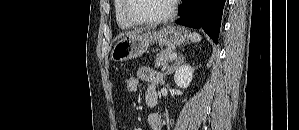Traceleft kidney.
Wrapping results in <instances>:
<instances>
[{
    "instance_id": "obj_1",
    "label": "left kidney",
    "mask_w": 299,
    "mask_h": 130,
    "mask_svg": "<svg viewBox=\"0 0 299 130\" xmlns=\"http://www.w3.org/2000/svg\"><path fill=\"white\" fill-rule=\"evenodd\" d=\"M194 68L190 65H182L176 69L174 75L175 84L180 88H187L193 78Z\"/></svg>"
}]
</instances>
